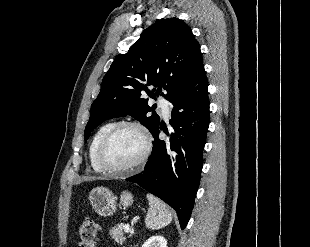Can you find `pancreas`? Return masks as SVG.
<instances>
[{"mask_svg":"<svg viewBox=\"0 0 310 247\" xmlns=\"http://www.w3.org/2000/svg\"><path fill=\"white\" fill-rule=\"evenodd\" d=\"M110 235L118 244H122L126 240V237L123 233V224H119L117 227H113L110 231Z\"/></svg>","mask_w":310,"mask_h":247,"instance_id":"1","label":"pancreas"}]
</instances>
